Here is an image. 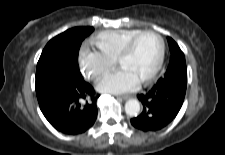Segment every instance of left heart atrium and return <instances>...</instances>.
<instances>
[{"label":"left heart atrium","instance_id":"39dd6f15","mask_svg":"<svg viewBox=\"0 0 225 155\" xmlns=\"http://www.w3.org/2000/svg\"><path fill=\"white\" fill-rule=\"evenodd\" d=\"M140 79L126 68L107 74L97 85L98 90L110 93H123L135 90Z\"/></svg>","mask_w":225,"mask_h":155}]
</instances>
